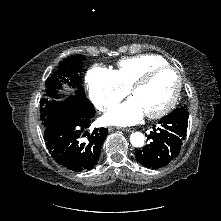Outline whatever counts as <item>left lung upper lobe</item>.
<instances>
[{
    "mask_svg": "<svg viewBox=\"0 0 221 221\" xmlns=\"http://www.w3.org/2000/svg\"><path fill=\"white\" fill-rule=\"evenodd\" d=\"M179 107H181V108H183V109H186V110H187V107H186V105H183V106H179Z\"/></svg>",
    "mask_w": 221,
    "mask_h": 221,
    "instance_id": "5c2ea615",
    "label": "left lung upper lobe"
}]
</instances>
